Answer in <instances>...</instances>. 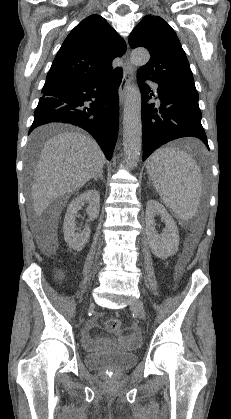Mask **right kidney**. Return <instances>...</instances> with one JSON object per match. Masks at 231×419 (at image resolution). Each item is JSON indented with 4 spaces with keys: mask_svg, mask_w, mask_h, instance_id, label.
<instances>
[{
    "mask_svg": "<svg viewBox=\"0 0 231 419\" xmlns=\"http://www.w3.org/2000/svg\"><path fill=\"white\" fill-rule=\"evenodd\" d=\"M88 204L86 208L89 221H93L100 211V193L95 190H87L74 198L67 208L63 223L64 239L70 248L81 251L90 237V227L87 225L81 233H76L75 218L82 206Z\"/></svg>",
    "mask_w": 231,
    "mask_h": 419,
    "instance_id": "obj_1",
    "label": "right kidney"
}]
</instances>
